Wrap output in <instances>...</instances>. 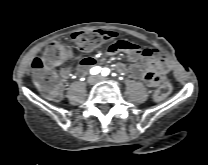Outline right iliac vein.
<instances>
[{
	"label": "right iliac vein",
	"instance_id": "63e3f726",
	"mask_svg": "<svg viewBox=\"0 0 208 165\" xmlns=\"http://www.w3.org/2000/svg\"><path fill=\"white\" fill-rule=\"evenodd\" d=\"M95 82V79L93 77H89L88 83L93 84Z\"/></svg>",
	"mask_w": 208,
	"mask_h": 165
}]
</instances>
